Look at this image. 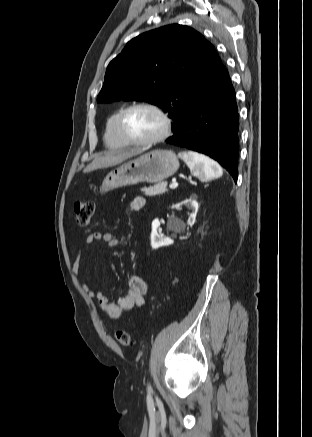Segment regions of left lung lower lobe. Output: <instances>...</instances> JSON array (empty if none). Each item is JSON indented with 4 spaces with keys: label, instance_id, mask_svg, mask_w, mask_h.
<instances>
[{
    "label": "left lung lower lobe",
    "instance_id": "left-lung-lower-lobe-1",
    "mask_svg": "<svg viewBox=\"0 0 312 437\" xmlns=\"http://www.w3.org/2000/svg\"><path fill=\"white\" fill-rule=\"evenodd\" d=\"M239 114L228 71L216 77L191 102L167 143L206 154L237 181Z\"/></svg>",
    "mask_w": 312,
    "mask_h": 437
}]
</instances>
